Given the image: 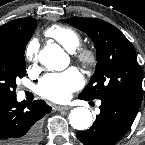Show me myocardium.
<instances>
[{
	"mask_svg": "<svg viewBox=\"0 0 145 145\" xmlns=\"http://www.w3.org/2000/svg\"><path fill=\"white\" fill-rule=\"evenodd\" d=\"M75 54L77 59L86 67H94L97 63V52L91 46H80L77 48Z\"/></svg>",
	"mask_w": 145,
	"mask_h": 145,
	"instance_id": "1",
	"label": "myocardium"
}]
</instances>
